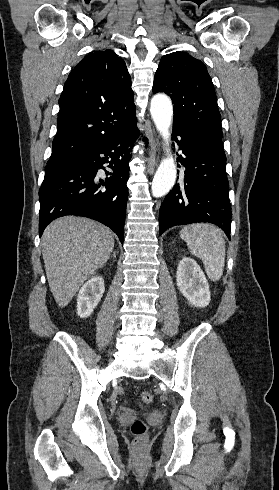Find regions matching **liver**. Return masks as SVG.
<instances>
[{
	"label": "liver",
	"mask_w": 279,
	"mask_h": 490,
	"mask_svg": "<svg viewBox=\"0 0 279 490\" xmlns=\"http://www.w3.org/2000/svg\"><path fill=\"white\" fill-rule=\"evenodd\" d=\"M114 234L88 218L64 216L43 232L41 246L49 288L65 308L80 286L102 268L114 248Z\"/></svg>",
	"instance_id": "1"
}]
</instances>
